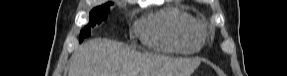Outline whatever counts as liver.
<instances>
[{
	"label": "liver",
	"mask_w": 287,
	"mask_h": 76,
	"mask_svg": "<svg viewBox=\"0 0 287 76\" xmlns=\"http://www.w3.org/2000/svg\"><path fill=\"white\" fill-rule=\"evenodd\" d=\"M199 61L137 53L122 43L96 38L69 60L68 76H190Z\"/></svg>",
	"instance_id": "obj_1"
}]
</instances>
